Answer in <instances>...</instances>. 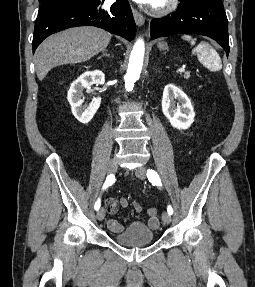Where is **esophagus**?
Wrapping results in <instances>:
<instances>
[{
	"instance_id": "obj_1",
	"label": "esophagus",
	"mask_w": 255,
	"mask_h": 287,
	"mask_svg": "<svg viewBox=\"0 0 255 287\" xmlns=\"http://www.w3.org/2000/svg\"><path fill=\"white\" fill-rule=\"evenodd\" d=\"M132 12H133V16H134L136 24L139 27L144 25L145 19H144L143 15L140 12H138V10L136 8H132Z\"/></svg>"
}]
</instances>
